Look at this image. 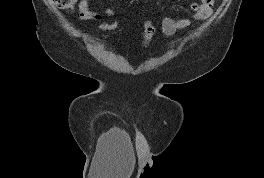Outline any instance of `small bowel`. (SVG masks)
<instances>
[{
  "instance_id": "obj_1",
  "label": "small bowel",
  "mask_w": 264,
  "mask_h": 178,
  "mask_svg": "<svg viewBox=\"0 0 264 178\" xmlns=\"http://www.w3.org/2000/svg\"><path fill=\"white\" fill-rule=\"evenodd\" d=\"M89 0H79L78 18L80 21H100L101 15L89 8ZM215 0H199L192 2L190 8L192 14L189 17L173 18L165 17L161 20V31L166 36H172L177 32L189 27L193 21H202L208 18L213 11ZM104 13L108 16L114 15V10L110 7L104 8Z\"/></svg>"
}]
</instances>
